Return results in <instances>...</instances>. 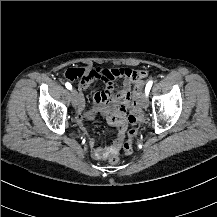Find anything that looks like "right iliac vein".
Wrapping results in <instances>:
<instances>
[{
    "label": "right iliac vein",
    "mask_w": 217,
    "mask_h": 217,
    "mask_svg": "<svg viewBox=\"0 0 217 217\" xmlns=\"http://www.w3.org/2000/svg\"><path fill=\"white\" fill-rule=\"evenodd\" d=\"M72 97H71V102L73 107H77L80 104V100H79V94L76 90H72Z\"/></svg>",
    "instance_id": "right-iliac-vein-1"
}]
</instances>
